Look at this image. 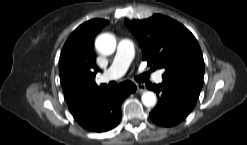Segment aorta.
Masks as SVG:
<instances>
[{"label":"aorta","instance_id":"aorta-1","mask_svg":"<svg viewBox=\"0 0 247 145\" xmlns=\"http://www.w3.org/2000/svg\"><path fill=\"white\" fill-rule=\"evenodd\" d=\"M96 48L103 55H111L116 49V39L112 34L104 33L96 39ZM142 103L146 107H154L157 103L156 94L152 91H145L141 97Z\"/></svg>","mask_w":247,"mask_h":145}]
</instances>
